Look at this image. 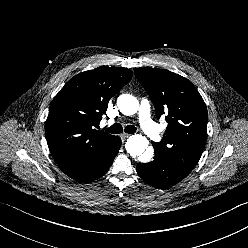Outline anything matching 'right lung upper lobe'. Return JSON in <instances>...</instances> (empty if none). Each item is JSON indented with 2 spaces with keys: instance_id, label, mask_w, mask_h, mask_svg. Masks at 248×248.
I'll return each instance as SVG.
<instances>
[{
  "instance_id": "obj_1",
  "label": "right lung upper lobe",
  "mask_w": 248,
  "mask_h": 248,
  "mask_svg": "<svg viewBox=\"0 0 248 248\" xmlns=\"http://www.w3.org/2000/svg\"><path fill=\"white\" fill-rule=\"evenodd\" d=\"M132 78L126 68L101 66L77 74L53 99L45 123L49 150L65 173L97 156L113 135L94 129L109 100Z\"/></svg>"
}]
</instances>
